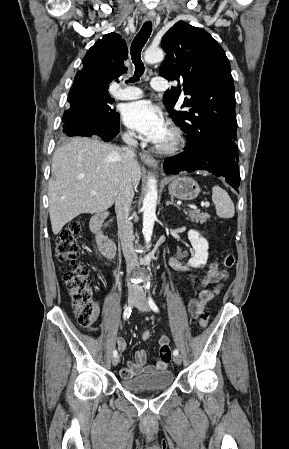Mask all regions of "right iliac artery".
<instances>
[{"instance_id":"1","label":"right iliac artery","mask_w":289,"mask_h":449,"mask_svg":"<svg viewBox=\"0 0 289 449\" xmlns=\"http://www.w3.org/2000/svg\"><path fill=\"white\" fill-rule=\"evenodd\" d=\"M131 312H132V307L129 305V306H127V307L125 308V310H124L123 318H124L125 320L128 319V318L130 317V315H131ZM117 355H118L117 350H114V351H113V356H117Z\"/></svg>"}]
</instances>
